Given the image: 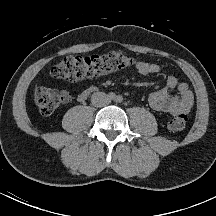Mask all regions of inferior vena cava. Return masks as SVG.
Returning <instances> with one entry per match:
<instances>
[{
    "label": "inferior vena cava",
    "mask_w": 216,
    "mask_h": 216,
    "mask_svg": "<svg viewBox=\"0 0 216 216\" xmlns=\"http://www.w3.org/2000/svg\"><path fill=\"white\" fill-rule=\"evenodd\" d=\"M110 99L104 92H95L91 96V103L95 107H104L109 104Z\"/></svg>",
    "instance_id": "inferior-vena-cava-1"
}]
</instances>
